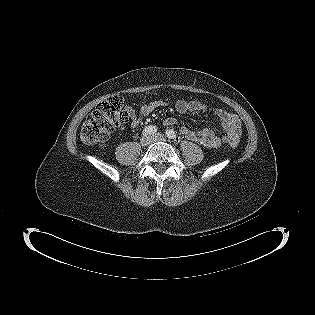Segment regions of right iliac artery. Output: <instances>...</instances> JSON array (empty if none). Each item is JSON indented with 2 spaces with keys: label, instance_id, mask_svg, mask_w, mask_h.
<instances>
[{
  "label": "right iliac artery",
  "instance_id": "obj_1",
  "mask_svg": "<svg viewBox=\"0 0 315 315\" xmlns=\"http://www.w3.org/2000/svg\"><path fill=\"white\" fill-rule=\"evenodd\" d=\"M156 132H157L156 126L150 125V126H147V127L143 130L142 134L145 135V136H148V135H153V134H155Z\"/></svg>",
  "mask_w": 315,
  "mask_h": 315
}]
</instances>
